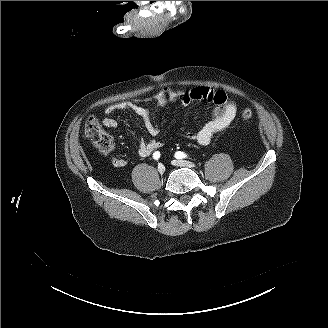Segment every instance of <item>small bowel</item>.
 Listing matches in <instances>:
<instances>
[{
	"label": "small bowel",
	"instance_id": "obj_1",
	"mask_svg": "<svg viewBox=\"0 0 328 328\" xmlns=\"http://www.w3.org/2000/svg\"><path fill=\"white\" fill-rule=\"evenodd\" d=\"M160 105L165 104L167 101L178 102L183 105H188L193 101H204L214 105L211 119L206 122L197 131H188L184 134L188 140H193L200 145H208L213 136L227 129L237 114V106L233 101L227 98V95L221 91H213L208 88H195L189 91L164 89L154 96ZM146 100H127L120 101L105 108V113L110 115L116 111H131L138 115L144 124L147 133L153 137L159 135L160 129L155 125L153 117L148 108L143 105ZM102 124L106 128H116L118 122L115 118L106 116L102 119ZM163 143L158 139H151L148 141L142 140L138 146V155L140 157H148L154 154ZM109 152V151H108ZM104 152V153H108ZM112 165L114 167H125L128 161L122 157H112Z\"/></svg>",
	"mask_w": 328,
	"mask_h": 328
}]
</instances>
